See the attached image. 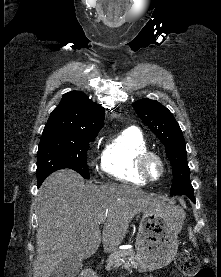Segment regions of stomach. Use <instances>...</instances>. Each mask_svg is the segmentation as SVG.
<instances>
[{
    "instance_id": "obj_1",
    "label": "stomach",
    "mask_w": 221,
    "mask_h": 277,
    "mask_svg": "<svg viewBox=\"0 0 221 277\" xmlns=\"http://www.w3.org/2000/svg\"><path fill=\"white\" fill-rule=\"evenodd\" d=\"M143 212L135 243L137 266L142 271L161 269L174 259L185 214L179 207Z\"/></svg>"
}]
</instances>
